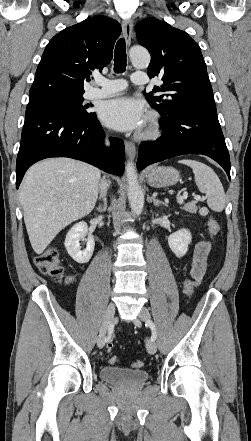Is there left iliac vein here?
<instances>
[{
  "label": "left iliac vein",
  "instance_id": "1",
  "mask_svg": "<svg viewBox=\"0 0 251 441\" xmlns=\"http://www.w3.org/2000/svg\"><path fill=\"white\" fill-rule=\"evenodd\" d=\"M150 319H151V316H150L149 311L146 308H142L140 311V314H139V320L144 321V322H148V321H150ZM139 320H135L136 325L140 324ZM146 349L149 354H152V355L155 354L157 351V345H156L155 341L148 340L146 342Z\"/></svg>",
  "mask_w": 251,
  "mask_h": 441
}]
</instances>
